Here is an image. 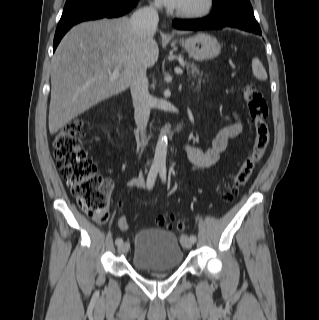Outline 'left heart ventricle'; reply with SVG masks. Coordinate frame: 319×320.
I'll list each match as a JSON object with an SVG mask.
<instances>
[{
  "mask_svg": "<svg viewBox=\"0 0 319 320\" xmlns=\"http://www.w3.org/2000/svg\"><path fill=\"white\" fill-rule=\"evenodd\" d=\"M201 0H187L180 10H191L200 5Z\"/></svg>",
  "mask_w": 319,
  "mask_h": 320,
  "instance_id": "b2bd125f",
  "label": "left heart ventricle"
}]
</instances>
